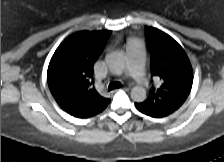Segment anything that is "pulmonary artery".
<instances>
[{
	"mask_svg": "<svg viewBox=\"0 0 224 162\" xmlns=\"http://www.w3.org/2000/svg\"><path fill=\"white\" fill-rule=\"evenodd\" d=\"M125 72L140 84L147 82L143 64V48L138 41L130 42L127 46Z\"/></svg>",
	"mask_w": 224,
	"mask_h": 162,
	"instance_id": "1",
	"label": "pulmonary artery"
}]
</instances>
